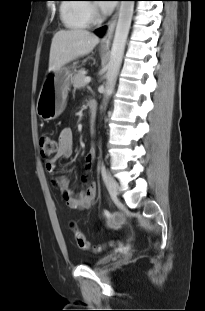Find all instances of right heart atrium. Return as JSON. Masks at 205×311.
Instances as JSON below:
<instances>
[{"label":"right heart atrium","instance_id":"1","mask_svg":"<svg viewBox=\"0 0 205 311\" xmlns=\"http://www.w3.org/2000/svg\"><path fill=\"white\" fill-rule=\"evenodd\" d=\"M89 14L91 18H97L98 17V10L94 6H89Z\"/></svg>","mask_w":205,"mask_h":311}]
</instances>
